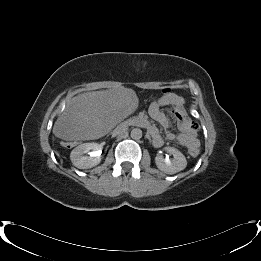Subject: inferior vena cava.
Instances as JSON below:
<instances>
[{
  "instance_id": "1",
  "label": "inferior vena cava",
  "mask_w": 261,
  "mask_h": 261,
  "mask_svg": "<svg viewBox=\"0 0 261 261\" xmlns=\"http://www.w3.org/2000/svg\"><path fill=\"white\" fill-rule=\"evenodd\" d=\"M124 130H125V127L122 126V127L117 128L115 133L119 134V133H122Z\"/></svg>"
}]
</instances>
